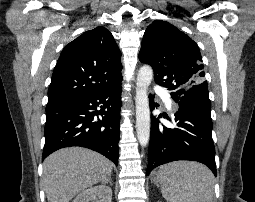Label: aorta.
<instances>
[{
  "instance_id": "obj_1",
  "label": "aorta",
  "mask_w": 255,
  "mask_h": 202,
  "mask_svg": "<svg viewBox=\"0 0 255 202\" xmlns=\"http://www.w3.org/2000/svg\"><path fill=\"white\" fill-rule=\"evenodd\" d=\"M153 79V69L149 65L140 68L136 81V131L140 145L146 147L150 139V108L148 87Z\"/></svg>"
}]
</instances>
